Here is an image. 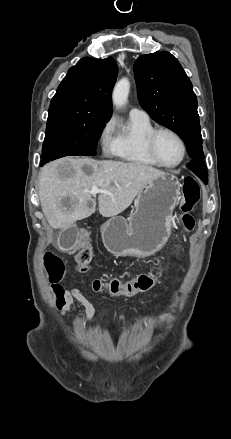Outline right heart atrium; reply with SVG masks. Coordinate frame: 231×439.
Masks as SVG:
<instances>
[{
    "label": "right heart atrium",
    "mask_w": 231,
    "mask_h": 439,
    "mask_svg": "<svg viewBox=\"0 0 231 439\" xmlns=\"http://www.w3.org/2000/svg\"><path fill=\"white\" fill-rule=\"evenodd\" d=\"M99 143L104 154L113 153L116 143V121L114 118L108 119L102 126L99 132Z\"/></svg>",
    "instance_id": "d8ad5b80"
}]
</instances>
